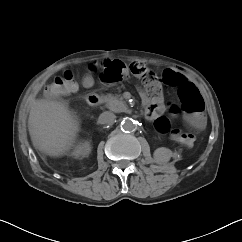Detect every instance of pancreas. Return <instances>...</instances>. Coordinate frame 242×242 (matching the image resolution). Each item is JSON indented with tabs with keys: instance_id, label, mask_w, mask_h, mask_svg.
Returning <instances> with one entry per match:
<instances>
[{
	"instance_id": "cf45deb5",
	"label": "pancreas",
	"mask_w": 242,
	"mask_h": 242,
	"mask_svg": "<svg viewBox=\"0 0 242 242\" xmlns=\"http://www.w3.org/2000/svg\"><path fill=\"white\" fill-rule=\"evenodd\" d=\"M106 107L113 112H123L126 109L123 97L120 95L108 94L103 97Z\"/></svg>"
}]
</instances>
